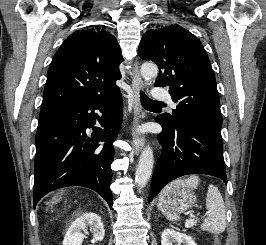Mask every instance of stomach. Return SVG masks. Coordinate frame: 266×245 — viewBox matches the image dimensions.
I'll return each instance as SVG.
<instances>
[{
	"instance_id": "0dacf381",
	"label": "stomach",
	"mask_w": 266,
	"mask_h": 245,
	"mask_svg": "<svg viewBox=\"0 0 266 245\" xmlns=\"http://www.w3.org/2000/svg\"><path fill=\"white\" fill-rule=\"evenodd\" d=\"M197 203L196 195L193 191H189L187 187H181V189H173L171 193L166 195L163 205L167 213H185L188 209H191L192 205Z\"/></svg>"
}]
</instances>
